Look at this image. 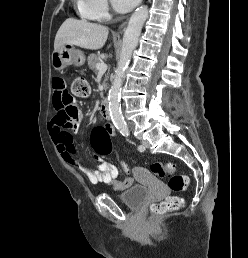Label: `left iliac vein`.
<instances>
[{
  "mask_svg": "<svg viewBox=\"0 0 248 258\" xmlns=\"http://www.w3.org/2000/svg\"><path fill=\"white\" fill-rule=\"evenodd\" d=\"M142 146L146 149L149 146V143L147 140H142Z\"/></svg>",
  "mask_w": 248,
  "mask_h": 258,
  "instance_id": "obj_1",
  "label": "left iliac vein"
}]
</instances>
